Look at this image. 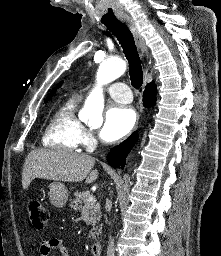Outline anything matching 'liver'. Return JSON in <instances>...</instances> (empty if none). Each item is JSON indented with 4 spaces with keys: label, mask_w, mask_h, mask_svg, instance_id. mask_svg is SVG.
<instances>
[{
    "label": "liver",
    "mask_w": 221,
    "mask_h": 256,
    "mask_svg": "<svg viewBox=\"0 0 221 256\" xmlns=\"http://www.w3.org/2000/svg\"><path fill=\"white\" fill-rule=\"evenodd\" d=\"M95 159L88 155L62 149H36L31 151L23 165L22 186L26 190L36 179L90 184L97 180L98 171L91 169Z\"/></svg>",
    "instance_id": "6515ba94"
}]
</instances>
